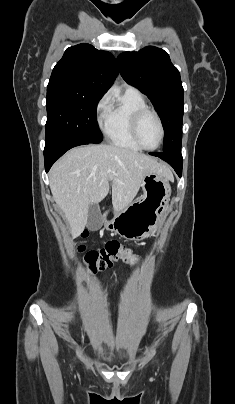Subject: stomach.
<instances>
[{
	"instance_id": "1",
	"label": "stomach",
	"mask_w": 235,
	"mask_h": 404,
	"mask_svg": "<svg viewBox=\"0 0 235 404\" xmlns=\"http://www.w3.org/2000/svg\"><path fill=\"white\" fill-rule=\"evenodd\" d=\"M143 194L121 211H115L106 229L127 240H142L160 226L167 211L171 187L163 175L147 174L141 183Z\"/></svg>"
}]
</instances>
